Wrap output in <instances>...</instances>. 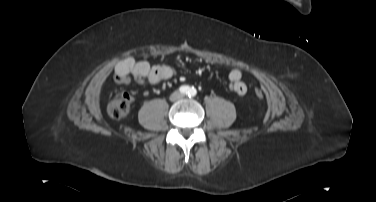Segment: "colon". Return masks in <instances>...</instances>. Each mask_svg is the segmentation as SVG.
I'll return each instance as SVG.
<instances>
[{"label":"colon","mask_w":376,"mask_h":202,"mask_svg":"<svg viewBox=\"0 0 376 202\" xmlns=\"http://www.w3.org/2000/svg\"><path fill=\"white\" fill-rule=\"evenodd\" d=\"M255 94L258 98L263 97V91L257 89ZM133 97L128 93L116 96L108 106V114L114 120H122L129 112Z\"/></svg>","instance_id":"1"}]
</instances>
